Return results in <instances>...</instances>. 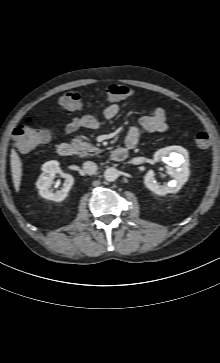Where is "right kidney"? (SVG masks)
I'll list each match as a JSON object with an SVG mask.
<instances>
[{
  "mask_svg": "<svg viewBox=\"0 0 220 363\" xmlns=\"http://www.w3.org/2000/svg\"><path fill=\"white\" fill-rule=\"evenodd\" d=\"M42 174L36 182V186L39 189V194L48 200L53 201H63L67 197V193L71 189L74 178L69 174H64L59 167V163L57 161H49L42 165ZM56 174H62L65 178L63 183V187L61 190H57L56 192H52L51 185L53 183V179ZM60 182L56 183V187H58Z\"/></svg>",
  "mask_w": 220,
  "mask_h": 363,
  "instance_id": "obj_1",
  "label": "right kidney"
}]
</instances>
